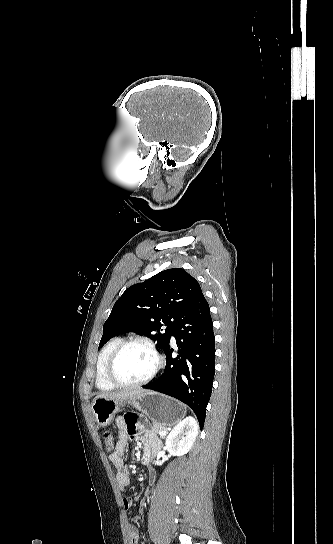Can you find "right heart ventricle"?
<instances>
[{
  "label": "right heart ventricle",
  "mask_w": 333,
  "mask_h": 544,
  "mask_svg": "<svg viewBox=\"0 0 333 544\" xmlns=\"http://www.w3.org/2000/svg\"><path fill=\"white\" fill-rule=\"evenodd\" d=\"M123 341L121 337H114L107 341L101 348L96 362L95 384L101 391H111L116 388L106 378L105 369L109 356L113 350Z\"/></svg>",
  "instance_id": "1"
}]
</instances>
